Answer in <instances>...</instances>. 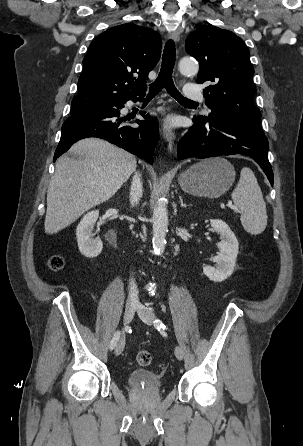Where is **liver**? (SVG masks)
I'll return each instance as SVG.
<instances>
[{"mask_svg": "<svg viewBox=\"0 0 303 446\" xmlns=\"http://www.w3.org/2000/svg\"><path fill=\"white\" fill-rule=\"evenodd\" d=\"M60 157L47 193L45 232L55 234L84 212L109 200L136 169V158L111 143L88 138Z\"/></svg>", "mask_w": 303, "mask_h": 446, "instance_id": "1", "label": "liver"}]
</instances>
